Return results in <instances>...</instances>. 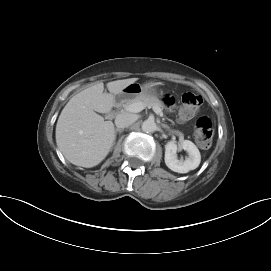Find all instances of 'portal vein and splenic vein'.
<instances>
[{"instance_id": "portal-vein-and-splenic-vein-1", "label": "portal vein and splenic vein", "mask_w": 271, "mask_h": 271, "mask_svg": "<svg viewBox=\"0 0 271 271\" xmlns=\"http://www.w3.org/2000/svg\"><path fill=\"white\" fill-rule=\"evenodd\" d=\"M145 105L143 104V103H141V102H137V103H132V104H130V105H128L127 107H126V111H128V112H131V113H139V112H141L142 110H144L145 109ZM153 111L156 113V114H162V110L159 108V107H157V106H154L153 107Z\"/></svg>"}]
</instances>
